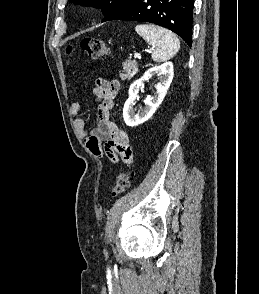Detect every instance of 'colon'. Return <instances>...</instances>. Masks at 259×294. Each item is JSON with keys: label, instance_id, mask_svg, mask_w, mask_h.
Returning <instances> with one entry per match:
<instances>
[{"label": "colon", "instance_id": "obj_1", "mask_svg": "<svg viewBox=\"0 0 259 294\" xmlns=\"http://www.w3.org/2000/svg\"><path fill=\"white\" fill-rule=\"evenodd\" d=\"M80 48L91 58L99 59L108 53L107 44L100 38H84L80 42ZM72 48L68 47L67 53H71ZM133 180V175L129 171H122L117 175L113 187V195H119L127 190Z\"/></svg>", "mask_w": 259, "mask_h": 294}]
</instances>
